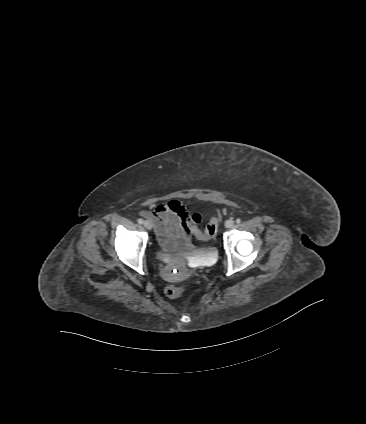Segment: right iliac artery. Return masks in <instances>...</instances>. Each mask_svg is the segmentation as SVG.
I'll return each instance as SVG.
<instances>
[{
  "label": "right iliac artery",
  "mask_w": 366,
  "mask_h": 424,
  "mask_svg": "<svg viewBox=\"0 0 366 424\" xmlns=\"http://www.w3.org/2000/svg\"><path fill=\"white\" fill-rule=\"evenodd\" d=\"M138 223H139V224H143V223H144V220H143V219H139V220H138Z\"/></svg>",
  "instance_id": "right-iliac-artery-1"
}]
</instances>
